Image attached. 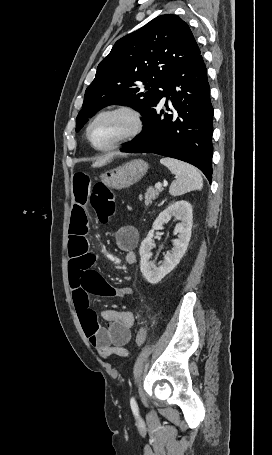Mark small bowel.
<instances>
[{
  "instance_id": "small-bowel-1",
  "label": "small bowel",
  "mask_w": 272,
  "mask_h": 455,
  "mask_svg": "<svg viewBox=\"0 0 272 455\" xmlns=\"http://www.w3.org/2000/svg\"><path fill=\"white\" fill-rule=\"evenodd\" d=\"M74 206L68 238L69 281L72 288L74 305L89 342L104 357L117 355L128 357L125 345L131 339V328L134 315L127 310L106 309L102 312L107 325L101 326L95 311L90 307L89 295L106 298H123L131 296V288H114L107 283L100 273L93 269L96 256L90 251L87 240L88 215L87 203L91 196L92 179L86 172H77L73 176ZM139 240L135 227L125 225L115 233V244L124 254L125 262L132 265L136 262L135 249ZM121 352L126 353L122 355Z\"/></svg>"
}]
</instances>
